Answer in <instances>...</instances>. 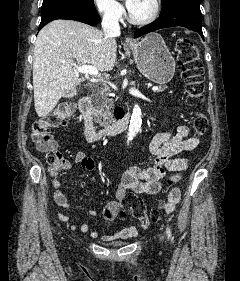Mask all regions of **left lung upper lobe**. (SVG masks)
I'll return each instance as SVG.
<instances>
[{"instance_id":"left-lung-upper-lobe-1","label":"left lung upper lobe","mask_w":240,"mask_h":281,"mask_svg":"<svg viewBox=\"0 0 240 281\" xmlns=\"http://www.w3.org/2000/svg\"><path fill=\"white\" fill-rule=\"evenodd\" d=\"M173 0H162V8L166 7Z\"/></svg>"}]
</instances>
